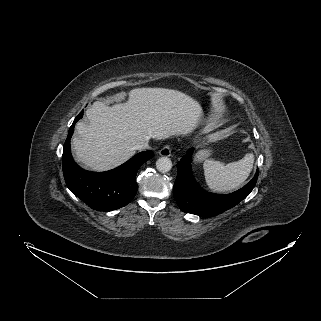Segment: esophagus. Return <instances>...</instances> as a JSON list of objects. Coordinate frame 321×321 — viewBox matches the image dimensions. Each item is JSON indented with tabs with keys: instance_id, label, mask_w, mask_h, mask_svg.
Segmentation results:
<instances>
[{
	"instance_id": "obj_1",
	"label": "esophagus",
	"mask_w": 321,
	"mask_h": 321,
	"mask_svg": "<svg viewBox=\"0 0 321 321\" xmlns=\"http://www.w3.org/2000/svg\"><path fill=\"white\" fill-rule=\"evenodd\" d=\"M160 156L169 157L171 155L170 146L166 145L159 151Z\"/></svg>"
}]
</instances>
